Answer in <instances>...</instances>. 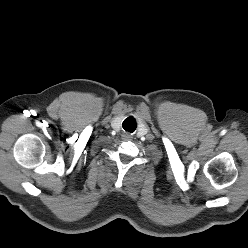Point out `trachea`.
I'll return each instance as SVG.
<instances>
[{
  "label": "trachea",
  "mask_w": 248,
  "mask_h": 248,
  "mask_svg": "<svg viewBox=\"0 0 248 248\" xmlns=\"http://www.w3.org/2000/svg\"><path fill=\"white\" fill-rule=\"evenodd\" d=\"M122 127L128 132H134L137 127L136 120L133 117H128L123 121Z\"/></svg>",
  "instance_id": "trachea-1"
}]
</instances>
